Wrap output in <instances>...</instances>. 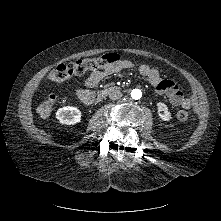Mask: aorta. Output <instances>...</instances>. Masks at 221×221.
<instances>
[{"mask_svg": "<svg viewBox=\"0 0 221 221\" xmlns=\"http://www.w3.org/2000/svg\"><path fill=\"white\" fill-rule=\"evenodd\" d=\"M141 96H142L141 90H139V89H133V90L131 91V97H132L133 99L138 100V99L141 98Z\"/></svg>", "mask_w": 221, "mask_h": 221, "instance_id": "aorta-1", "label": "aorta"}]
</instances>
